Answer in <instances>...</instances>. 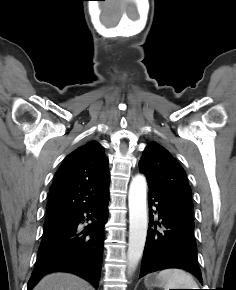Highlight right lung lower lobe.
<instances>
[{"mask_svg":"<svg viewBox=\"0 0 236 290\" xmlns=\"http://www.w3.org/2000/svg\"><path fill=\"white\" fill-rule=\"evenodd\" d=\"M108 201L109 190L100 202L43 230L28 290H31L42 276L54 271L77 274L98 288ZM85 213L87 220H91L92 223L81 230L79 224L84 220Z\"/></svg>","mask_w":236,"mask_h":290,"instance_id":"1","label":"right lung lower lobe"}]
</instances>
